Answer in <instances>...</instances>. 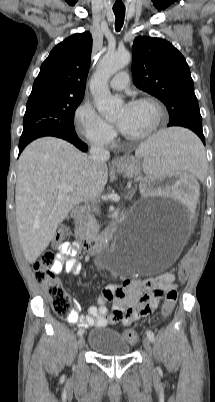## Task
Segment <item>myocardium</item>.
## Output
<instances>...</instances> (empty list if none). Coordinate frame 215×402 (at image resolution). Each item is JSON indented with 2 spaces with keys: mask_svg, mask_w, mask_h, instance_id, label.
I'll list each match as a JSON object with an SVG mask.
<instances>
[{
  "mask_svg": "<svg viewBox=\"0 0 215 402\" xmlns=\"http://www.w3.org/2000/svg\"><path fill=\"white\" fill-rule=\"evenodd\" d=\"M143 103L151 105L152 108L154 109V113H155L154 122H153L152 126L146 132H144L142 134L128 135L123 132V137L126 140L137 142V141H143L145 139H148L159 129V127L161 125V122H162L163 116H164V109H163L161 103L154 97H151V96L137 97V98L132 99L127 105L131 106V105H137V104H143Z\"/></svg>",
  "mask_w": 215,
  "mask_h": 402,
  "instance_id": "1",
  "label": "myocardium"
}]
</instances>
